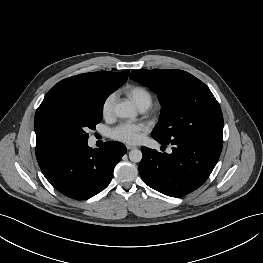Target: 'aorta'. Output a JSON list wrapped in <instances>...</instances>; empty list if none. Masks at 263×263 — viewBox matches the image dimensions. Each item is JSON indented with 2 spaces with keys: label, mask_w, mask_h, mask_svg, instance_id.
I'll return each mask as SVG.
<instances>
[{
  "label": "aorta",
  "mask_w": 263,
  "mask_h": 263,
  "mask_svg": "<svg viewBox=\"0 0 263 263\" xmlns=\"http://www.w3.org/2000/svg\"><path fill=\"white\" fill-rule=\"evenodd\" d=\"M114 112L120 118H135L136 109L130 102L119 103L115 106ZM129 159L132 162H140L142 159V152L138 149H133L129 152Z\"/></svg>",
  "instance_id": "762f6f07"
}]
</instances>
